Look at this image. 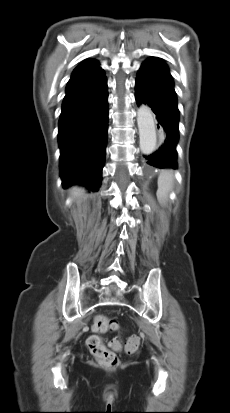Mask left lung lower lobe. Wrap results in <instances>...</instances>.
<instances>
[{
    "mask_svg": "<svg viewBox=\"0 0 230 413\" xmlns=\"http://www.w3.org/2000/svg\"><path fill=\"white\" fill-rule=\"evenodd\" d=\"M135 99L138 105L146 103L152 108L167 135L156 152L144 156L147 163L157 168L176 169L179 110L174 82L162 59L150 57L143 62L136 77Z\"/></svg>",
    "mask_w": 230,
    "mask_h": 413,
    "instance_id": "left-lung-lower-lobe-1",
    "label": "left lung lower lobe"
}]
</instances>
